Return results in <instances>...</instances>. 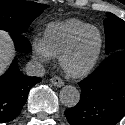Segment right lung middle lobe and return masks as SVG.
<instances>
[{
	"label": "right lung middle lobe",
	"instance_id": "obj_1",
	"mask_svg": "<svg viewBox=\"0 0 125 125\" xmlns=\"http://www.w3.org/2000/svg\"><path fill=\"white\" fill-rule=\"evenodd\" d=\"M48 5L24 0H0V30L22 35Z\"/></svg>",
	"mask_w": 125,
	"mask_h": 125
}]
</instances>
